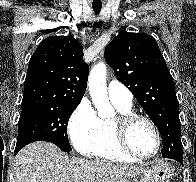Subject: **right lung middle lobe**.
<instances>
[{
    "label": "right lung middle lobe",
    "instance_id": "dd1d6c3e",
    "mask_svg": "<svg viewBox=\"0 0 196 182\" xmlns=\"http://www.w3.org/2000/svg\"><path fill=\"white\" fill-rule=\"evenodd\" d=\"M78 104H43L22 107L15 151L35 141H48L69 152L68 120Z\"/></svg>",
    "mask_w": 196,
    "mask_h": 182
}]
</instances>
